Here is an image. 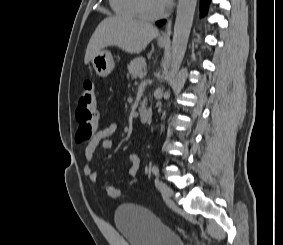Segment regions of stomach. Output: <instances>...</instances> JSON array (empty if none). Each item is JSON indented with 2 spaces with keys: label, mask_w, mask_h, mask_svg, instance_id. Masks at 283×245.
Segmentation results:
<instances>
[{
  "label": "stomach",
  "mask_w": 283,
  "mask_h": 245,
  "mask_svg": "<svg viewBox=\"0 0 283 245\" xmlns=\"http://www.w3.org/2000/svg\"><path fill=\"white\" fill-rule=\"evenodd\" d=\"M166 44L159 42L160 47H164ZM93 68L96 74L101 77H106L111 73L115 67V63L110 51L101 50L92 59Z\"/></svg>",
  "instance_id": "stomach-1"
}]
</instances>
